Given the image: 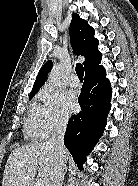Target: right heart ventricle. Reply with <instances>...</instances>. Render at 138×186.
I'll list each match as a JSON object with an SVG mask.
<instances>
[{
    "label": "right heart ventricle",
    "mask_w": 138,
    "mask_h": 186,
    "mask_svg": "<svg viewBox=\"0 0 138 186\" xmlns=\"http://www.w3.org/2000/svg\"><path fill=\"white\" fill-rule=\"evenodd\" d=\"M39 111L40 104L34 100L24 125L25 135L30 139H43L47 136L40 123Z\"/></svg>",
    "instance_id": "e07e8e85"
}]
</instances>
